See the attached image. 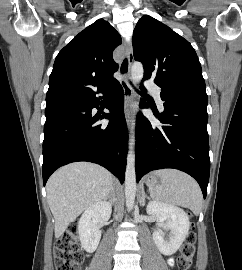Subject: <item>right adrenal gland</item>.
<instances>
[{
  "mask_svg": "<svg viewBox=\"0 0 242 270\" xmlns=\"http://www.w3.org/2000/svg\"><path fill=\"white\" fill-rule=\"evenodd\" d=\"M106 199H109L111 204L115 202L116 198L114 189H112L111 193L106 197Z\"/></svg>",
  "mask_w": 242,
  "mask_h": 270,
  "instance_id": "obj_1",
  "label": "right adrenal gland"
}]
</instances>
